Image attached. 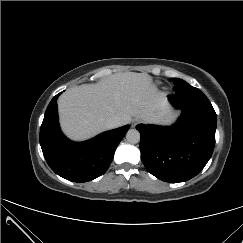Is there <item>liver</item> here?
Wrapping results in <instances>:
<instances>
[{
    "instance_id": "6515ba94",
    "label": "liver",
    "mask_w": 243,
    "mask_h": 243,
    "mask_svg": "<svg viewBox=\"0 0 243 243\" xmlns=\"http://www.w3.org/2000/svg\"><path fill=\"white\" fill-rule=\"evenodd\" d=\"M63 131L74 140H83L109 129L106 120L118 117L120 126L132 118L158 122L168 113L163 92L146 73L124 72L95 84H83L64 92L58 99Z\"/></svg>"
}]
</instances>
